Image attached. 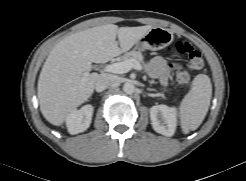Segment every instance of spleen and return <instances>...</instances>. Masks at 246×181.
Masks as SVG:
<instances>
[{
    "label": "spleen",
    "mask_w": 246,
    "mask_h": 181,
    "mask_svg": "<svg viewBox=\"0 0 246 181\" xmlns=\"http://www.w3.org/2000/svg\"><path fill=\"white\" fill-rule=\"evenodd\" d=\"M212 97V84L205 74L197 75L192 82L191 91L185 95L179 105L180 125L187 134L196 130L203 122Z\"/></svg>",
    "instance_id": "obj_1"
}]
</instances>
